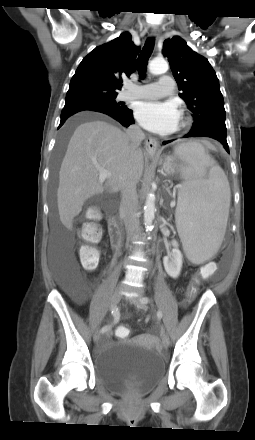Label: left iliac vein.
Instances as JSON below:
<instances>
[{"label": "left iliac vein", "instance_id": "1", "mask_svg": "<svg viewBox=\"0 0 255 440\" xmlns=\"http://www.w3.org/2000/svg\"><path fill=\"white\" fill-rule=\"evenodd\" d=\"M142 298H143L142 295H138L137 297L132 298L131 302L133 304H135L136 306H138V307H140L142 309H145L146 308V304L141 301ZM161 338H162V345H163V347L167 348L169 346L170 340H169V337H168V335H167V333L165 332L164 329L161 330Z\"/></svg>", "mask_w": 255, "mask_h": 440}]
</instances>
